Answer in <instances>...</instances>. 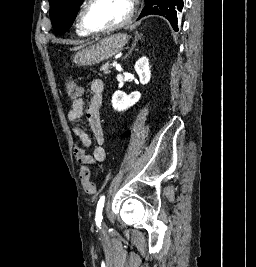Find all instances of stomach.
I'll return each instance as SVG.
<instances>
[{"instance_id": "obj_1", "label": "stomach", "mask_w": 256, "mask_h": 267, "mask_svg": "<svg viewBox=\"0 0 256 267\" xmlns=\"http://www.w3.org/2000/svg\"><path fill=\"white\" fill-rule=\"evenodd\" d=\"M129 40L128 34H113V36H106L99 40L98 44L92 46H85L79 50L73 58L75 64H82V66H93V64H100L103 60H108L112 56H116L121 52L123 46Z\"/></svg>"}]
</instances>
